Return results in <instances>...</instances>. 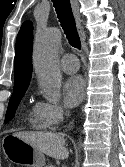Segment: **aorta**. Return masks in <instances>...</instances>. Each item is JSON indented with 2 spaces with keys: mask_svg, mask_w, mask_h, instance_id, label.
<instances>
[{
  "mask_svg": "<svg viewBox=\"0 0 125 167\" xmlns=\"http://www.w3.org/2000/svg\"><path fill=\"white\" fill-rule=\"evenodd\" d=\"M61 37L58 28H48L37 34L34 44L35 72L43 97L52 103H57L61 97L62 75L58 65Z\"/></svg>",
  "mask_w": 125,
  "mask_h": 167,
  "instance_id": "1",
  "label": "aorta"
}]
</instances>
